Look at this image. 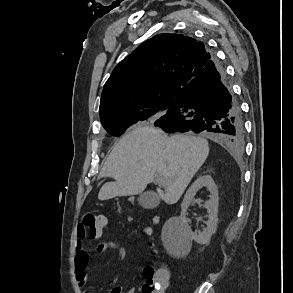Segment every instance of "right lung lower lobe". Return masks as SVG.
Segmentation results:
<instances>
[{"instance_id": "98d812e1", "label": "right lung lower lobe", "mask_w": 293, "mask_h": 293, "mask_svg": "<svg viewBox=\"0 0 293 293\" xmlns=\"http://www.w3.org/2000/svg\"><path fill=\"white\" fill-rule=\"evenodd\" d=\"M176 108L153 124L168 133L195 132L224 142L236 152L244 147V127L239 104L225 73L213 57L176 97Z\"/></svg>"}]
</instances>
